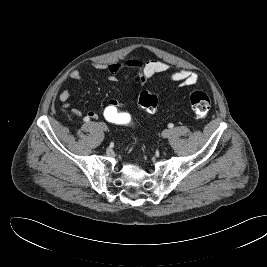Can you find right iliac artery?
Returning a JSON list of instances; mask_svg holds the SVG:
<instances>
[{"mask_svg": "<svg viewBox=\"0 0 267 267\" xmlns=\"http://www.w3.org/2000/svg\"><path fill=\"white\" fill-rule=\"evenodd\" d=\"M84 121L88 122V121H89V119H87V118L85 117V118H84Z\"/></svg>", "mask_w": 267, "mask_h": 267, "instance_id": "obj_1", "label": "right iliac artery"}]
</instances>
